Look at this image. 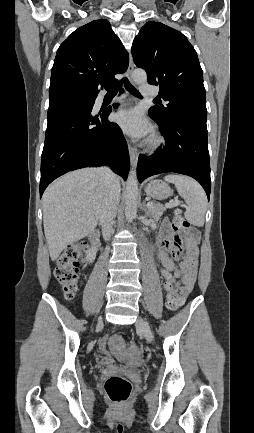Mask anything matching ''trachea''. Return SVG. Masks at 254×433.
<instances>
[{
	"instance_id": "3493384b",
	"label": "trachea",
	"mask_w": 254,
	"mask_h": 433,
	"mask_svg": "<svg viewBox=\"0 0 254 433\" xmlns=\"http://www.w3.org/2000/svg\"><path fill=\"white\" fill-rule=\"evenodd\" d=\"M120 83L121 84L124 83L125 88L127 89V91L130 94H132V95H134L136 97H141V94L139 93V91L130 84V82L128 81L127 78H123L120 81ZM105 89L107 90V94H109V95H116L117 94V90H118V86L117 85H115V86H105Z\"/></svg>"
}]
</instances>
